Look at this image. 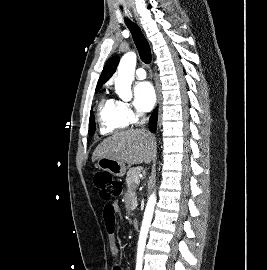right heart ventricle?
Wrapping results in <instances>:
<instances>
[{
    "instance_id": "obj_1",
    "label": "right heart ventricle",
    "mask_w": 267,
    "mask_h": 270,
    "mask_svg": "<svg viewBox=\"0 0 267 270\" xmlns=\"http://www.w3.org/2000/svg\"><path fill=\"white\" fill-rule=\"evenodd\" d=\"M97 118L103 135L125 129L128 122L121 116L115 100L102 98L98 105Z\"/></svg>"
}]
</instances>
